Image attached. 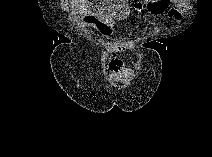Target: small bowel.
Here are the masks:
<instances>
[{"label": "small bowel", "mask_w": 212, "mask_h": 157, "mask_svg": "<svg viewBox=\"0 0 212 157\" xmlns=\"http://www.w3.org/2000/svg\"><path fill=\"white\" fill-rule=\"evenodd\" d=\"M65 5L79 15V25L83 29L93 27L107 38L113 35L115 21L127 18L131 8L141 10L146 7L147 11L154 16L168 14L170 18L177 22H182L187 12V5L183 0H151L149 2L133 0L131 5L125 0L70 1L66 2ZM126 49V45L114 46L116 53ZM108 68L110 70L108 76L110 82L127 78L132 73L117 57L108 60Z\"/></svg>", "instance_id": "c3829d8e"}]
</instances>
